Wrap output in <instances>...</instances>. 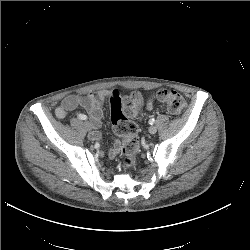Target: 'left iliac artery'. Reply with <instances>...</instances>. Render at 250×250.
<instances>
[{
  "mask_svg": "<svg viewBox=\"0 0 250 250\" xmlns=\"http://www.w3.org/2000/svg\"><path fill=\"white\" fill-rule=\"evenodd\" d=\"M154 123H155V119L154 118H152V119L149 120V124L153 125Z\"/></svg>",
  "mask_w": 250,
  "mask_h": 250,
  "instance_id": "left-iliac-artery-1",
  "label": "left iliac artery"
}]
</instances>
